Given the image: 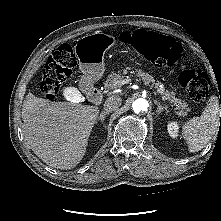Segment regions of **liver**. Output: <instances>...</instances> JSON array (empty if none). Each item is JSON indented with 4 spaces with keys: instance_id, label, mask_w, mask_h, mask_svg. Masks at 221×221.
<instances>
[{
    "instance_id": "obj_1",
    "label": "liver",
    "mask_w": 221,
    "mask_h": 221,
    "mask_svg": "<svg viewBox=\"0 0 221 221\" xmlns=\"http://www.w3.org/2000/svg\"><path fill=\"white\" fill-rule=\"evenodd\" d=\"M98 114L97 106L52 102L28 93L22 105L24 137L44 163L71 169L85 155Z\"/></svg>"
}]
</instances>
